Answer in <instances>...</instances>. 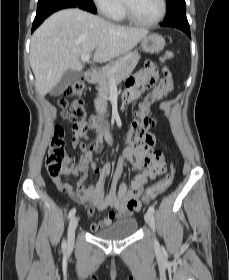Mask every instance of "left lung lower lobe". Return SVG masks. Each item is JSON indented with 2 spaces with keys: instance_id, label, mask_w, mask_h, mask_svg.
<instances>
[{
  "instance_id": "0a47b994",
  "label": "left lung lower lobe",
  "mask_w": 229,
  "mask_h": 280,
  "mask_svg": "<svg viewBox=\"0 0 229 280\" xmlns=\"http://www.w3.org/2000/svg\"><path fill=\"white\" fill-rule=\"evenodd\" d=\"M161 26L176 27V28L182 30L183 32H185L187 34V36L189 38H191L190 27H189V23L187 21L186 16H179V17L164 21L161 24Z\"/></svg>"
}]
</instances>
